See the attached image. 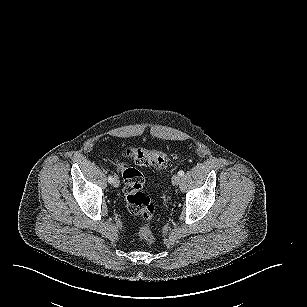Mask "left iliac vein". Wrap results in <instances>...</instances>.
Wrapping results in <instances>:
<instances>
[{
  "instance_id": "obj_1",
  "label": "left iliac vein",
  "mask_w": 307,
  "mask_h": 307,
  "mask_svg": "<svg viewBox=\"0 0 307 307\" xmlns=\"http://www.w3.org/2000/svg\"><path fill=\"white\" fill-rule=\"evenodd\" d=\"M180 181H181V177L178 175V174H175L173 177H172V184L174 186H178L180 184Z\"/></svg>"
}]
</instances>
